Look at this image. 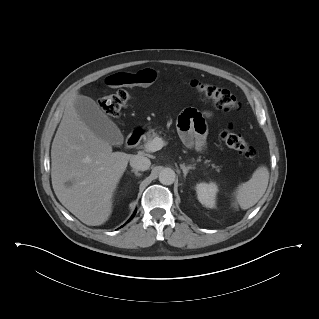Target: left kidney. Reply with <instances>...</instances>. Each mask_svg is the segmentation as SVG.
I'll use <instances>...</instances> for the list:
<instances>
[{
    "label": "left kidney",
    "mask_w": 319,
    "mask_h": 319,
    "mask_svg": "<svg viewBox=\"0 0 319 319\" xmlns=\"http://www.w3.org/2000/svg\"><path fill=\"white\" fill-rule=\"evenodd\" d=\"M218 186L211 182H201L196 185V193L199 202L207 208H214Z\"/></svg>",
    "instance_id": "obj_1"
}]
</instances>
